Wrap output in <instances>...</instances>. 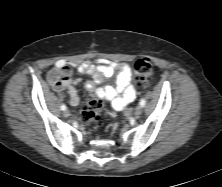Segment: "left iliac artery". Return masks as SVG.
I'll list each match as a JSON object with an SVG mask.
<instances>
[{
  "label": "left iliac artery",
  "instance_id": "1",
  "mask_svg": "<svg viewBox=\"0 0 222 187\" xmlns=\"http://www.w3.org/2000/svg\"><path fill=\"white\" fill-rule=\"evenodd\" d=\"M145 103H146L145 99H141V100H140V105H141L142 107L145 106Z\"/></svg>",
  "mask_w": 222,
  "mask_h": 187
}]
</instances>
